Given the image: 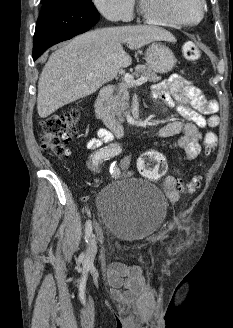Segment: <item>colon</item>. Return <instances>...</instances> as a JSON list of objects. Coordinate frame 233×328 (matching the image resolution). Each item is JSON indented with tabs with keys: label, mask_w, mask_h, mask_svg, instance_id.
<instances>
[{
	"label": "colon",
	"mask_w": 233,
	"mask_h": 328,
	"mask_svg": "<svg viewBox=\"0 0 233 328\" xmlns=\"http://www.w3.org/2000/svg\"><path fill=\"white\" fill-rule=\"evenodd\" d=\"M183 55L189 61L200 58V50L196 44L188 42L183 46ZM80 113L71 110L60 115L52 116L42 122L41 143L42 148L57 156L65 157L69 154V143L77 129ZM217 143L215 134L209 133L205 137V153L211 154ZM142 175L150 179H158L167 171L165 157L154 150L143 153L138 161ZM200 186L199 178L189 183H182L181 188L186 193H192Z\"/></svg>",
	"instance_id": "1"
}]
</instances>
